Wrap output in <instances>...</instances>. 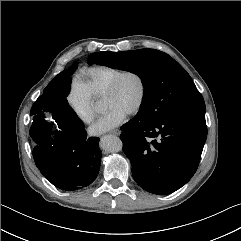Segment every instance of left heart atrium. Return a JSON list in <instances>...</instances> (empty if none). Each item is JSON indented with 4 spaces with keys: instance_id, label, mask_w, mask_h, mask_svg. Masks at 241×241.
Wrapping results in <instances>:
<instances>
[{
    "instance_id": "obj_1",
    "label": "left heart atrium",
    "mask_w": 241,
    "mask_h": 241,
    "mask_svg": "<svg viewBox=\"0 0 241 241\" xmlns=\"http://www.w3.org/2000/svg\"><path fill=\"white\" fill-rule=\"evenodd\" d=\"M126 115L127 114L121 109L112 107L91 127L90 133L93 135H100L108 132L122 124Z\"/></svg>"
}]
</instances>
